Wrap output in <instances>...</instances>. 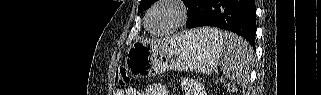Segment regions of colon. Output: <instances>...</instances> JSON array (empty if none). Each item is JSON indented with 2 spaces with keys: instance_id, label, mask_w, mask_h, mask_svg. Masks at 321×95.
Returning a JSON list of instances; mask_svg holds the SVG:
<instances>
[{
  "instance_id": "colon-1",
  "label": "colon",
  "mask_w": 321,
  "mask_h": 95,
  "mask_svg": "<svg viewBox=\"0 0 321 95\" xmlns=\"http://www.w3.org/2000/svg\"><path fill=\"white\" fill-rule=\"evenodd\" d=\"M116 78L122 87H127L130 83V76L126 68L118 67L116 70Z\"/></svg>"
}]
</instances>
